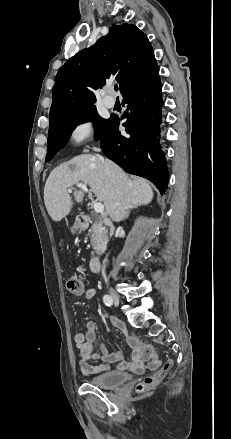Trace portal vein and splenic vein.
I'll return each mask as SVG.
<instances>
[{
  "label": "portal vein and splenic vein",
  "instance_id": "portal-vein-and-splenic-vein-1",
  "mask_svg": "<svg viewBox=\"0 0 231 439\" xmlns=\"http://www.w3.org/2000/svg\"><path fill=\"white\" fill-rule=\"evenodd\" d=\"M76 186H77L78 188L82 189L83 191H85V192H87V193H90L89 190H88V188L86 187V185H84V184H82V183H77ZM68 192L71 193L72 190H71V189H68ZM93 208H94V211H95L96 213H99V214H103V213H104V205H103L102 203H100V202L95 203L94 206H93Z\"/></svg>",
  "mask_w": 231,
  "mask_h": 439
}]
</instances>
